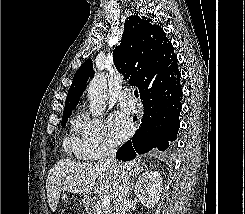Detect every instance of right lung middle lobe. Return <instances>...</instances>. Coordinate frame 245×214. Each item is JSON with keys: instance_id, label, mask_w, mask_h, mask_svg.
<instances>
[{"instance_id": "dd1d6c3e", "label": "right lung middle lobe", "mask_w": 245, "mask_h": 214, "mask_svg": "<svg viewBox=\"0 0 245 214\" xmlns=\"http://www.w3.org/2000/svg\"><path fill=\"white\" fill-rule=\"evenodd\" d=\"M70 115H71V113L63 114L62 122H61L62 126L66 124V122H67L68 118L70 117Z\"/></svg>"}]
</instances>
